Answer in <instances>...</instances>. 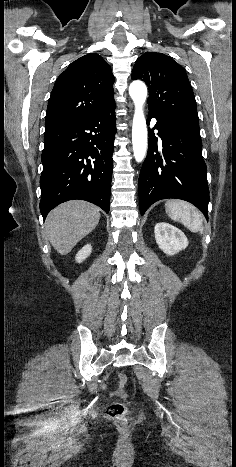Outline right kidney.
Here are the masks:
<instances>
[{
	"label": "right kidney",
	"instance_id": "right-kidney-1",
	"mask_svg": "<svg viewBox=\"0 0 236 467\" xmlns=\"http://www.w3.org/2000/svg\"><path fill=\"white\" fill-rule=\"evenodd\" d=\"M91 251H92V247L90 244H87L85 245L81 250H79V252L77 253L75 259L78 263H81L82 261H84L90 254H91Z\"/></svg>",
	"mask_w": 236,
	"mask_h": 467
}]
</instances>
